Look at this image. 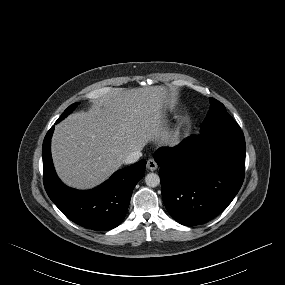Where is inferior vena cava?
Masks as SVG:
<instances>
[{"mask_svg":"<svg viewBox=\"0 0 285 285\" xmlns=\"http://www.w3.org/2000/svg\"><path fill=\"white\" fill-rule=\"evenodd\" d=\"M142 156V153L140 151H134L131 152L129 155L126 156L124 159L125 164H132L139 160V158Z\"/></svg>","mask_w":285,"mask_h":285,"instance_id":"1","label":"inferior vena cava"}]
</instances>
